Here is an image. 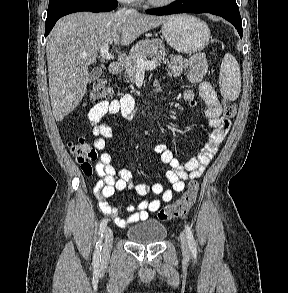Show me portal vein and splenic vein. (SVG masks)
<instances>
[{
    "instance_id": "1",
    "label": "portal vein and splenic vein",
    "mask_w": 288,
    "mask_h": 293,
    "mask_svg": "<svg viewBox=\"0 0 288 293\" xmlns=\"http://www.w3.org/2000/svg\"><path fill=\"white\" fill-rule=\"evenodd\" d=\"M100 55L103 59H106V60L114 59V56L111 53H109V45L108 44H105L101 47ZM85 56H86V54H83V57H85ZM136 63H137V68L141 69V70L154 69L157 66L155 61H145L142 58H138Z\"/></svg>"
}]
</instances>
